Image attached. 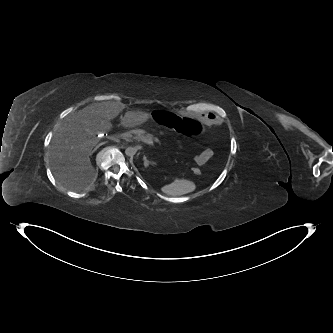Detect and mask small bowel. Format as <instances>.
<instances>
[{"instance_id": "obj_1", "label": "small bowel", "mask_w": 333, "mask_h": 333, "mask_svg": "<svg viewBox=\"0 0 333 333\" xmlns=\"http://www.w3.org/2000/svg\"><path fill=\"white\" fill-rule=\"evenodd\" d=\"M212 113H205L203 114V117L205 120L209 121V122H212V123H215L217 122V116H210ZM213 156V152L211 149H205L203 152H201L200 154H198L196 157H195V163L198 165V166H202L204 164H206L210 159L211 157Z\"/></svg>"}]
</instances>
